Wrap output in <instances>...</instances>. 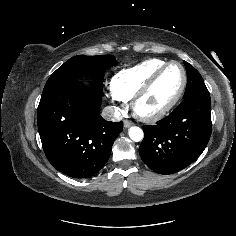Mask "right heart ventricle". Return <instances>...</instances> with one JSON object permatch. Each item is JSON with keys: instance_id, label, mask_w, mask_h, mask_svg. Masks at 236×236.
Wrapping results in <instances>:
<instances>
[{"instance_id": "e07e8e85", "label": "right heart ventricle", "mask_w": 236, "mask_h": 236, "mask_svg": "<svg viewBox=\"0 0 236 236\" xmlns=\"http://www.w3.org/2000/svg\"><path fill=\"white\" fill-rule=\"evenodd\" d=\"M165 63L164 60L154 58L119 71L111 81L112 94L124 102L131 100L151 75Z\"/></svg>"}]
</instances>
